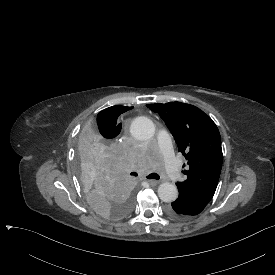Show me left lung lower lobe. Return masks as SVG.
I'll return each mask as SVG.
<instances>
[{
    "label": "left lung lower lobe",
    "mask_w": 275,
    "mask_h": 275,
    "mask_svg": "<svg viewBox=\"0 0 275 275\" xmlns=\"http://www.w3.org/2000/svg\"><path fill=\"white\" fill-rule=\"evenodd\" d=\"M207 204L192 193L179 192V198L167 207V213L175 220H187L201 213Z\"/></svg>",
    "instance_id": "0a47b994"
}]
</instances>
